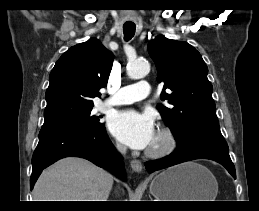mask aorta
<instances>
[{
  "instance_id": "762f6f07",
  "label": "aorta",
  "mask_w": 259,
  "mask_h": 211,
  "mask_svg": "<svg viewBox=\"0 0 259 211\" xmlns=\"http://www.w3.org/2000/svg\"><path fill=\"white\" fill-rule=\"evenodd\" d=\"M150 71V65L147 61L137 60L130 63L127 67V74L132 79H141Z\"/></svg>"
}]
</instances>
